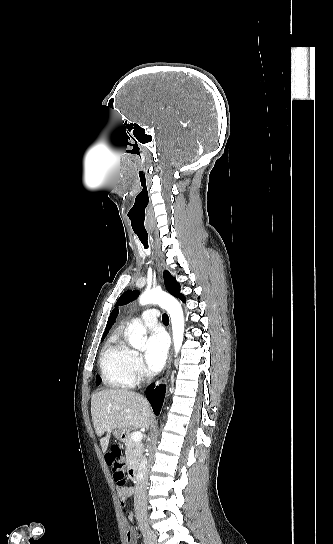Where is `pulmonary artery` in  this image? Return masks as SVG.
Here are the masks:
<instances>
[{"mask_svg": "<svg viewBox=\"0 0 333 544\" xmlns=\"http://www.w3.org/2000/svg\"><path fill=\"white\" fill-rule=\"evenodd\" d=\"M159 312L156 309H148L141 315V321L144 326L150 329L157 327Z\"/></svg>", "mask_w": 333, "mask_h": 544, "instance_id": "1", "label": "pulmonary artery"}]
</instances>
